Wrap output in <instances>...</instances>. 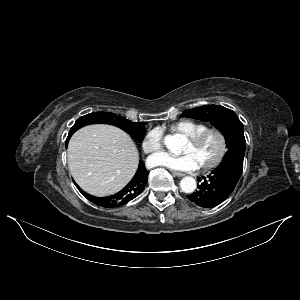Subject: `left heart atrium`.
<instances>
[{"label": "left heart atrium", "mask_w": 300, "mask_h": 300, "mask_svg": "<svg viewBox=\"0 0 300 300\" xmlns=\"http://www.w3.org/2000/svg\"><path fill=\"white\" fill-rule=\"evenodd\" d=\"M151 166L166 167L175 171H193L199 166L194 157L189 153L173 156L167 153H158L148 160Z\"/></svg>", "instance_id": "left-heart-atrium-1"}]
</instances>
